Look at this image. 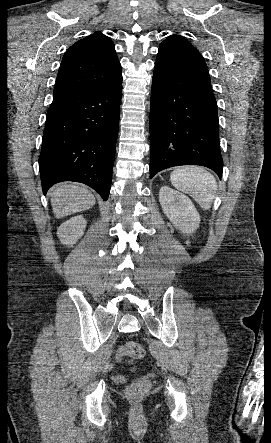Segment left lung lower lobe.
I'll list each match as a JSON object with an SVG mask.
<instances>
[{"label":"left lung lower lobe","instance_id":"0a47b994","mask_svg":"<svg viewBox=\"0 0 271 443\" xmlns=\"http://www.w3.org/2000/svg\"><path fill=\"white\" fill-rule=\"evenodd\" d=\"M150 151V178L180 165H201L222 175L217 103L199 52L159 48L151 89Z\"/></svg>","mask_w":271,"mask_h":443}]
</instances>
